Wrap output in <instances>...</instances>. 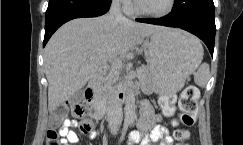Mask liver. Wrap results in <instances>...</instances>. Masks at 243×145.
I'll use <instances>...</instances> for the list:
<instances>
[{
    "label": "liver",
    "instance_id": "6515ba94",
    "mask_svg": "<svg viewBox=\"0 0 243 145\" xmlns=\"http://www.w3.org/2000/svg\"><path fill=\"white\" fill-rule=\"evenodd\" d=\"M163 26L118 21L109 14L78 18L60 27L45 47L48 109L56 110L82 89L107 59L124 56Z\"/></svg>",
    "mask_w": 243,
    "mask_h": 145
}]
</instances>
